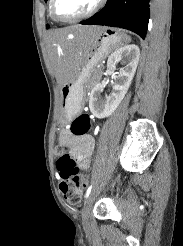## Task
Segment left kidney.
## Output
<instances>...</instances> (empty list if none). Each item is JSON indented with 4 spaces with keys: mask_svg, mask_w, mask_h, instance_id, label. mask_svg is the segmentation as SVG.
<instances>
[{
    "mask_svg": "<svg viewBox=\"0 0 183 246\" xmlns=\"http://www.w3.org/2000/svg\"><path fill=\"white\" fill-rule=\"evenodd\" d=\"M139 57L140 49L134 44L120 47L109 56L107 70L110 73H114L118 62H122L124 67L114 76L115 82L111 95H105L104 98H100V94L104 89L102 83L96 84L92 89L89 108L95 117L100 119L108 117L117 109L132 82Z\"/></svg>",
    "mask_w": 183,
    "mask_h": 246,
    "instance_id": "left-kidney-1",
    "label": "left kidney"
}]
</instances>
